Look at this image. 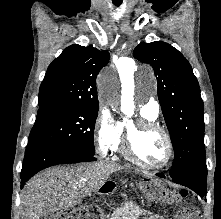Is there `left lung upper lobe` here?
<instances>
[{
    "mask_svg": "<svg viewBox=\"0 0 221 219\" xmlns=\"http://www.w3.org/2000/svg\"><path fill=\"white\" fill-rule=\"evenodd\" d=\"M133 56L149 63L158 82V98L175 157L170 176L205 165L204 109L198 81L185 57L170 44L140 43Z\"/></svg>",
    "mask_w": 221,
    "mask_h": 219,
    "instance_id": "obj_1",
    "label": "left lung upper lobe"
}]
</instances>
